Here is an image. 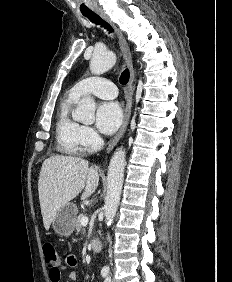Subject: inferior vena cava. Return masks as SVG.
<instances>
[{"instance_id": "obj_1", "label": "inferior vena cava", "mask_w": 232, "mask_h": 282, "mask_svg": "<svg viewBox=\"0 0 232 282\" xmlns=\"http://www.w3.org/2000/svg\"><path fill=\"white\" fill-rule=\"evenodd\" d=\"M103 143H104V141L100 138V139H99V144H100V145H103Z\"/></svg>"}]
</instances>
